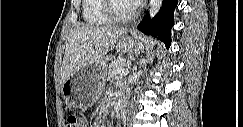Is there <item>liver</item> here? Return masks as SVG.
I'll return each mask as SVG.
<instances>
[{
  "label": "liver",
  "mask_w": 243,
  "mask_h": 127,
  "mask_svg": "<svg viewBox=\"0 0 243 127\" xmlns=\"http://www.w3.org/2000/svg\"><path fill=\"white\" fill-rule=\"evenodd\" d=\"M127 32V28L90 25L72 29L64 53L60 83L63 84L85 64L104 58Z\"/></svg>",
  "instance_id": "6515ba94"
}]
</instances>
